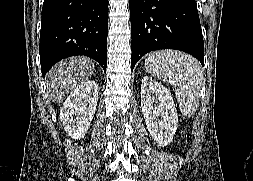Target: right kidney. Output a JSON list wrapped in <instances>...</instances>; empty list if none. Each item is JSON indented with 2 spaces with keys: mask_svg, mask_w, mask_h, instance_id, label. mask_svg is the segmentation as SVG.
<instances>
[{
  "mask_svg": "<svg viewBox=\"0 0 253 181\" xmlns=\"http://www.w3.org/2000/svg\"><path fill=\"white\" fill-rule=\"evenodd\" d=\"M98 100V84L86 81L67 97L60 110L65 131L74 139L84 137L93 119Z\"/></svg>",
  "mask_w": 253,
  "mask_h": 181,
  "instance_id": "right-kidney-1",
  "label": "right kidney"
}]
</instances>
